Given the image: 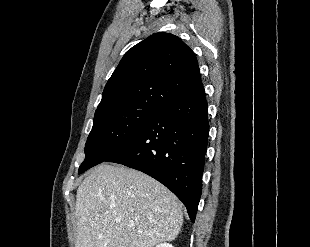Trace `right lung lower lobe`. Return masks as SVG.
Masks as SVG:
<instances>
[{
	"label": "right lung lower lobe",
	"mask_w": 310,
	"mask_h": 247,
	"mask_svg": "<svg viewBox=\"0 0 310 247\" xmlns=\"http://www.w3.org/2000/svg\"><path fill=\"white\" fill-rule=\"evenodd\" d=\"M207 116L202 87L161 108L105 162L123 164L161 182L184 203L194 222L209 134Z\"/></svg>",
	"instance_id": "obj_1"
}]
</instances>
